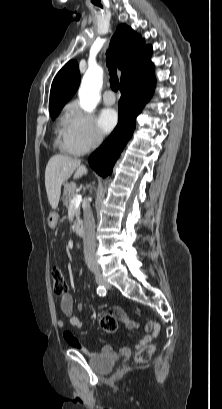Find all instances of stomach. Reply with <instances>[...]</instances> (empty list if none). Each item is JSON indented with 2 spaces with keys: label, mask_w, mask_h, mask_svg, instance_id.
I'll list each match as a JSON object with an SVG mask.
<instances>
[{
  "label": "stomach",
  "mask_w": 222,
  "mask_h": 409,
  "mask_svg": "<svg viewBox=\"0 0 222 409\" xmlns=\"http://www.w3.org/2000/svg\"><path fill=\"white\" fill-rule=\"evenodd\" d=\"M58 221V216L57 215H52L48 218V223L49 225L54 228L57 224Z\"/></svg>",
  "instance_id": "0dacf381"
}]
</instances>
